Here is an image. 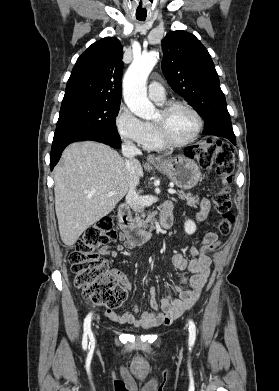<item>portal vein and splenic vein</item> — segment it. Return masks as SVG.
I'll return each instance as SVG.
<instances>
[{
    "label": "portal vein and splenic vein",
    "mask_w": 279,
    "mask_h": 391,
    "mask_svg": "<svg viewBox=\"0 0 279 391\" xmlns=\"http://www.w3.org/2000/svg\"><path fill=\"white\" fill-rule=\"evenodd\" d=\"M117 192L116 191H111V192H109L107 195L108 196H113V195H115ZM168 193L169 194H175L176 193V190H174V189H168Z\"/></svg>",
    "instance_id": "portal-vein-and-splenic-vein-1"
}]
</instances>
